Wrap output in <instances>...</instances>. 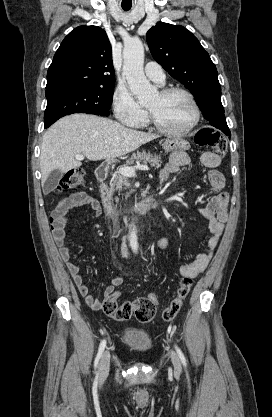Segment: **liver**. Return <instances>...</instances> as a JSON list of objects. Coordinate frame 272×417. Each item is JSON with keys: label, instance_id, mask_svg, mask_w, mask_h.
<instances>
[{"label": "liver", "instance_id": "obj_1", "mask_svg": "<svg viewBox=\"0 0 272 417\" xmlns=\"http://www.w3.org/2000/svg\"><path fill=\"white\" fill-rule=\"evenodd\" d=\"M158 135L127 128L111 119L73 114L59 119L43 135L40 169L44 185L54 170L63 173L81 166L76 154L91 161L126 155L158 138Z\"/></svg>", "mask_w": 272, "mask_h": 417}]
</instances>
